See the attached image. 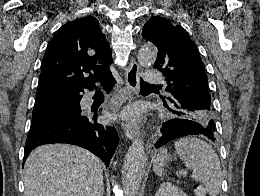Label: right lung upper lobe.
Masks as SVG:
<instances>
[{"label":"right lung upper lobe","instance_id":"1","mask_svg":"<svg viewBox=\"0 0 260 196\" xmlns=\"http://www.w3.org/2000/svg\"><path fill=\"white\" fill-rule=\"evenodd\" d=\"M111 48L98 20L82 17L63 25L49 42L43 57L35 107L50 105L95 83L111 79Z\"/></svg>","mask_w":260,"mask_h":196}]
</instances>
